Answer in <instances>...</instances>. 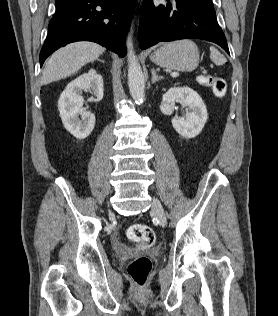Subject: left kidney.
<instances>
[{
  "label": "left kidney",
  "instance_id": "1",
  "mask_svg": "<svg viewBox=\"0 0 278 316\" xmlns=\"http://www.w3.org/2000/svg\"><path fill=\"white\" fill-rule=\"evenodd\" d=\"M175 101L188 107L186 118H172L174 129L183 137L194 138L199 135L208 119L207 109L199 94L189 87L170 88L163 96L160 110L165 115L174 111Z\"/></svg>",
  "mask_w": 278,
  "mask_h": 316
}]
</instances>
